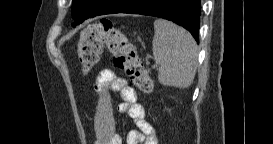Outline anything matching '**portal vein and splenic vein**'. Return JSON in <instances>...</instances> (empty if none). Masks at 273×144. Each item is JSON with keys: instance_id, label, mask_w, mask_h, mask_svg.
I'll return each instance as SVG.
<instances>
[{"instance_id": "18ae733b", "label": "portal vein and splenic vein", "mask_w": 273, "mask_h": 144, "mask_svg": "<svg viewBox=\"0 0 273 144\" xmlns=\"http://www.w3.org/2000/svg\"><path fill=\"white\" fill-rule=\"evenodd\" d=\"M156 66H157V64H154V65H153V67H156Z\"/></svg>"}]
</instances>
